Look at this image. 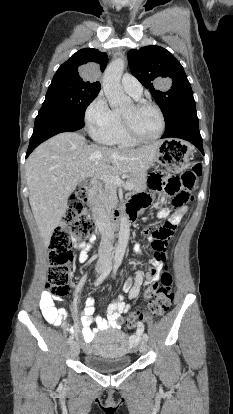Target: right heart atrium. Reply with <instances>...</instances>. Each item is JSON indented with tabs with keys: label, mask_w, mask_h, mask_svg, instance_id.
I'll return each mask as SVG.
<instances>
[{
	"label": "right heart atrium",
	"mask_w": 233,
	"mask_h": 414,
	"mask_svg": "<svg viewBox=\"0 0 233 414\" xmlns=\"http://www.w3.org/2000/svg\"><path fill=\"white\" fill-rule=\"evenodd\" d=\"M115 114L105 96L99 93L86 107L84 121L89 134L98 142L108 143Z\"/></svg>",
	"instance_id": "1"
}]
</instances>
